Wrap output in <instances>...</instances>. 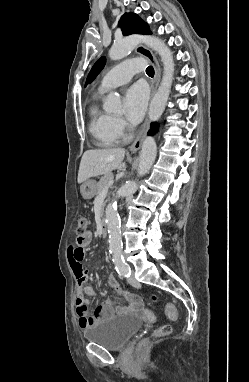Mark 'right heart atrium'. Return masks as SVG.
<instances>
[{
    "instance_id": "obj_1",
    "label": "right heart atrium",
    "mask_w": 249,
    "mask_h": 382,
    "mask_svg": "<svg viewBox=\"0 0 249 382\" xmlns=\"http://www.w3.org/2000/svg\"><path fill=\"white\" fill-rule=\"evenodd\" d=\"M112 128L118 137H123L128 129V125L122 118L113 117Z\"/></svg>"
}]
</instances>
